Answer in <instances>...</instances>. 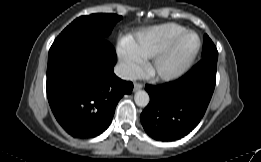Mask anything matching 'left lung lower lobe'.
<instances>
[{
	"label": "left lung lower lobe",
	"instance_id": "left-lung-lower-lobe-1",
	"mask_svg": "<svg viewBox=\"0 0 261 162\" xmlns=\"http://www.w3.org/2000/svg\"><path fill=\"white\" fill-rule=\"evenodd\" d=\"M218 57H204L181 78L146 85L150 103L140 115L143 128L158 141L188 135L203 118L216 83Z\"/></svg>",
	"mask_w": 261,
	"mask_h": 162
}]
</instances>
